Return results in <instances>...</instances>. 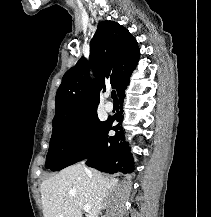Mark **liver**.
<instances>
[{
    "mask_svg": "<svg viewBox=\"0 0 211 217\" xmlns=\"http://www.w3.org/2000/svg\"><path fill=\"white\" fill-rule=\"evenodd\" d=\"M118 183L101 172L75 164L42 182L41 201L44 217H82L84 205L90 206L87 217H98L103 200Z\"/></svg>",
    "mask_w": 211,
    "mask_h": 217,
    "instance_id": "obj_1",
    "label": "liver"
}]
</instances>
